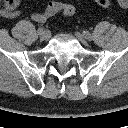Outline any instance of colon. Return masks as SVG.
<instances>
[{
	"label": "colon",
	"mask_w": 128,
	"mask_h": 128,
	"mask_svg": "<svg viewBox=\"0 0 128 128\" xmlns=\"http://www.w3.org/2000/svg\"><path fill=\"white\" fill-rule=\"evenodd\" d=\"M99 5L108 7L111 5V0H95ZM120 6L128 9V0H118ZM19 4V0H0V10L5 12H13ZM76 8L73 4H65L62 12L65 16H72L75 14Z\"/></svg>",
	"instance_id": "5ec220e1"
}]
</instances>
